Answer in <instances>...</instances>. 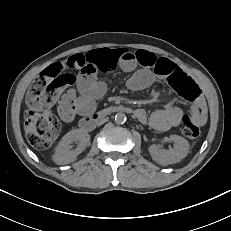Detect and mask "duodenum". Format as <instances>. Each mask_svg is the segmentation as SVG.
Listing matches in <instances>:
<instances>
[{"label":"duodenum","instance_id":"1","mask_svg":"<svg viewBox=\"0 0 231 231\" xmlns=\"http://www.w3.org/2000/svg\"><path fill=\"white\" fill-rule=\"evenodd\" d=\"M115 113H126L130 115H134L135 117H138L139 115V111L131 107L125 105H112L84 117L80 121V129L86 132L92 131L98 125V122L101 119L105 117H110Z\"/></svg>","mask_w":231,"mask_h":231}]
</instances>
